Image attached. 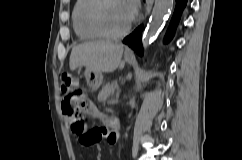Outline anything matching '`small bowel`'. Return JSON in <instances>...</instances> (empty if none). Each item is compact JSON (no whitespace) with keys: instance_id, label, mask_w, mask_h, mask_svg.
<instances>
[{"instance_id":"obj_1","label":"small bowel","mask_w":242,"mask_h":160,"mask_svg":"<svg viewBox=\"0 0 242 160\" xmlns=\"http://www.w3.org/2000/svg\"><path fill=\"white\" fill-rule=\"evenodd\" d=\"M65 104V102L63 101L62 102V111H63V105ZM87 108H88V112L91 114V115H96V111L95 109H93L90 105L87 104ZM113 118V117H112ZM114 119V126L113 127H110V128H107V129H104V128H95L94 131H99V135L98 137L95 139V143L99 142L101 139L105 138L107 140L108 143L110 144H114L116 143L117 141V128H118V121L116 118H113ZM66 123L67 125L71 128V130L77 134L75 131H74V125L76 123V120L74 118H69L67 117L66 119ZM79 136V134H77ZM83 144V143H82ZM85 145V144H83Z\"/></svg>"}]
</instances>
